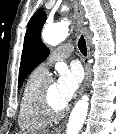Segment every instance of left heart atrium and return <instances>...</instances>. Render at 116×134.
I'll return each mask as SVG.
<instances>
[{"mask_svg":"<svg viewBox=\"0 0 116 134\" xmlns=\"http://www.w3.org/2000/svg\"><path fill=\"white\" fill-rule=\"evenodd\" d=\"M83 79V73L78 65L61 67L58 71L56 87L60 101L66 106L76 94Z\"/></svg>","mask_w":116,"mask_h":134,"instance_id":"1","label":"left heart atrium"}]
</instances>
